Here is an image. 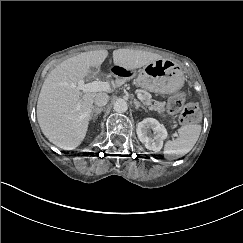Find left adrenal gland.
Returning <instances> with one entry per match:
<instances>
[{"instance_id": "left-adrenal-gland-1", "label": "left adrenal gland", "mask_w": 243, "mask_h": 243, "mask_svg": "<svg viewBox=\"0 0 243 243\" xmlns=\"http://www.w3.org/2000/svg\"><path fill=\"white\" fill-rule=\"evenodd\" d=\"M135 104V110H138L139 108H143L144 110H147L137 99L133 100Z\"/></svg>"}]
</instances>
